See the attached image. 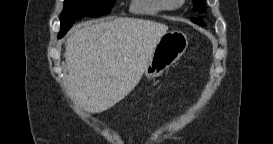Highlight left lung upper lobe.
I'll return each mask as SVG.
<instances>
[{"label": "left lung upper lobe", "mask_w": 273, "mask_h": 144, "mask_svg": "<svg viewBox=\"0 0 273 144\" xmlns=\"http://www.w3.org/2000/svg\"><path fill=\"white\" fill-rule=\"evenodd\" d=\"M193 2H194V5H195L194 9H195L196 11L202 12L203 9L205 8V6H204L202 0H193ZM194 19H195V18H191V20H194Z\"/></svg>", "instance_id": "5c2ea615"}]
</instances>
